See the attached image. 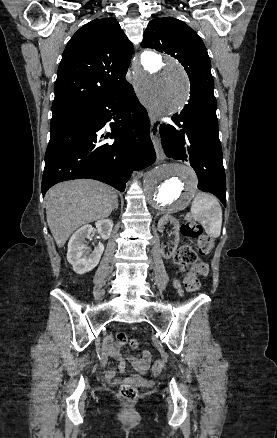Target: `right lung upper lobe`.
Segmentation results:
<instances>
[{
    "label": "right lung upper lobe",
    "instance_id": "right-lung-upper-lobe-1",
    "mask_svg": "<svg viewBox=\"0 0 277 438\" xmlns=\"http://www.w3.org/2000/svg\"><path fill=\"white\" fill-rule=\"evenodd\" d=\"M133 44L115 18L95 19L68 42L54 85L53 111L78 110L81 105L126 82ZM74 63H79L73 69Z\"/></svg>",
    "mask_w": 277,
    "mask_h": 438
}]
</instances>
